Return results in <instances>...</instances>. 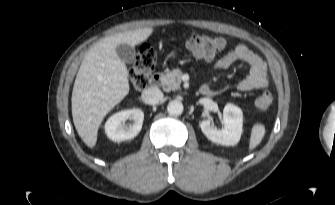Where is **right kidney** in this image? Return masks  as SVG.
<instances>
[{"label": "right kidney", "instance_id": "ca27d5eb", "mask_svg": "<svg viewBox=\"0 0 335 205\" xmlns=\"http://www.w3.org/2000/svg\"><path fill=\"white\" fill-rule=\"evenodd\" d=\"M133 120L125 125L126 120ZM144 112L141 109L123 110L113 114L105 123V133L109 139L122 142L134 138L142 129Z\"/></svg>", "mask_w": 335, "mask_h": 205}]
</instances>
